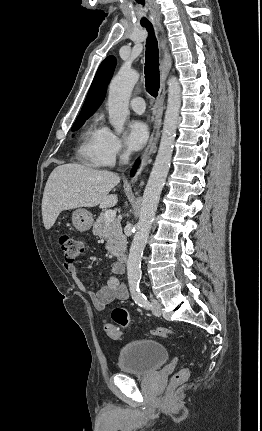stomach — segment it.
<instances>
[{
	"instance_id": "1",
	"label": "stomach",
	"mask_w": 262,
	"mask_h": 431,
	"mask_svg": "<svg viewBox=\"0 0 262 431\" xmlns=\"http://www.w3.org/2000/svg\"><path fill=\"white\" fill-rule=\"evenodd\" d=\"M72 222L77 230L85 232L91 228L93 224V216L86 209H77L72 214Z\"/></svg>"
}]
</instances>
